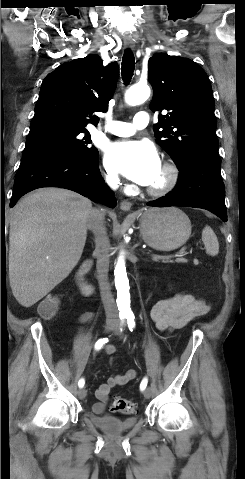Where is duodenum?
<instances>
[{"label": "duodenum", "instance_id": "obj_1", "mask_svg": "<svg viewBox=\"0 0 245 479\" xmlns=\"http://www.w3.org/2000/svg\"><path fill=\"white\" fill-rule=\"evenodd\" d=\"M90 267V263L89 262H85L81 268L79 269L78 273H77V277H76V280H77V284L79 286V288L85 293V294H91L93 292V288L91 285H89L86 280H85V273L87 272V270L89 269Z\"/></svg>", "mask_w": 245, "mask_h": 479}]
</instances>
